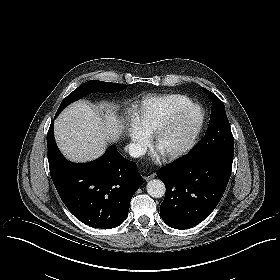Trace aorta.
<instances>
[{"label": "aorta", "instance_id": "obj_1", "mask_svg": "<svg viewBox=\"0 0 280 280\" xmlns=\"http://www.w3.org/2000/svg\"><path fill=\"white\" fill-rule=\"evenodd\" d=\"M147 193L153 198H161L165 195V184L159 179L150 180L146 186Z\"/></svg>", "mask_w": 280, "mask_h": 280}]
</instances>
